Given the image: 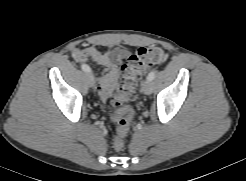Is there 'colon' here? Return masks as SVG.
Here are the masks:
<instances>
[{"label": "colon", "mask_w": 246, "mask_h": 181, "mask_svg": "<svg viewBox=\"0 0 246 181\" xmlns=\"http://www.w3.org/2000/svg\"><path fill=\"white\" fill-rule=\"evenodd\" d=\"M167 52L159 46L139 48L131 55L122 69V83L120 88L113 90L110 95V104L113 108L112 119L116 122V133L113 147L121 150L133 119V109L124 105L136 99V89L139 80L146 70L154 65L165 62Z\"/></svg>", "instance_id": "1"}]
</instances>
